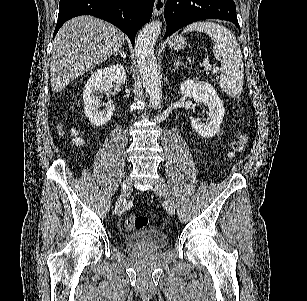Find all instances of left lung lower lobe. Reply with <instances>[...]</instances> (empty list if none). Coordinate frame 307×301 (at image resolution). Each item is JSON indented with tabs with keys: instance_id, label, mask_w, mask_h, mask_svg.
Segmentation results:
<instances>
[{
	"instance_id": "left-lung-lower-lobe-1",
	"label": "left lung lower lobe",
	"mask_w": 307,
	"mask_h": 301,
	"mask_svg": "<svg viewBox=\"0 0 307 301\" xmlns=\"http://www.w3.org/2000/svg\"><path fill=\"white\" fill-rule=\"evenodd\" d=\"M164 14L167 22L164 39L183 26L204 19L227 20L239 28L233 0H167Z\"/></svg>"
}]
</instances>
